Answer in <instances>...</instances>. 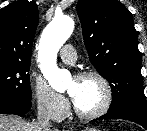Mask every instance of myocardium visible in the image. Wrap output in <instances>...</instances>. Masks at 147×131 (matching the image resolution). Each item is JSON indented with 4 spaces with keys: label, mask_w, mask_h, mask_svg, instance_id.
<instances>
[{
    "label": "myocardium",
    "mask_w": 147,
    "mask_h": 131,
    "mask_svg": "<svg viewBox=\"0 0 147 131\" xmlns=\"http://www.w3.org/2000/svg\"><path fill=\"white\" fill-rule=\"evenodd\" d=\"M78 78L97 80L99 84L101 85V88L103 91V100H102L101 105L97 109L91 112H83L79 110L74 104L73 109H74L75 114L79 118L84 119V120L96 119L106 114L108 110L110 109L112 105V101H113V91H112V88H111V85L108 79L103 74L95 70H89V71L83 72L78 76Z\"/></svg>",
    "instance_id": "1"
}]
</instances>
